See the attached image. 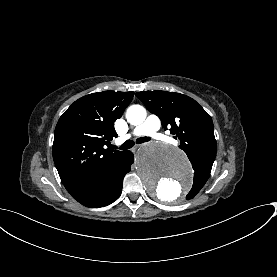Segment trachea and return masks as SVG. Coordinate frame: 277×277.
<instances>
[{"label": "trachea", "mask_w": 277, "mask_h": 277, "mask_svg": "<svg viewBox=\"0 0 277 277\" xmlns=\"http://www.w3.org/2000/svg\"><path fill=\"white\" fill-rule=\"evenodd\" d=\"M149 140H150V137H140V138L136 139L135 142L133 140H127L120 146V149L127 150V149L132 148L135 143L140 144V143L147 142Z\"/></svg>", "instance_id": "1"}]
</instances>
